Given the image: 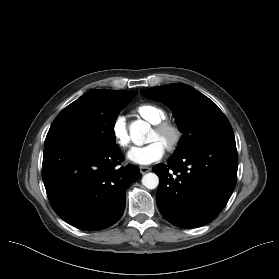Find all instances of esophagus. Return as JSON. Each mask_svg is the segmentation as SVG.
I'll return each mask as SVG.
<instances>
[{
	"label": "esophagus",
	"instance_id": "esophagus-1",
	"mask_svg": "<svg viewBox=\"0 0 279 279\" xmlns=\"http://www.w3.org/2000/svg\"><path fill=\"white\" fill-rule=\"evenodd\" d=\"M150 170H151V168L148 166H140L141 174H145V173L149 172Z\"/></svg>",
	"mask_w": 279,
	"mask_h": 279
}]
</instances>
